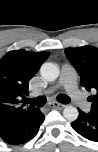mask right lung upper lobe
<instances>
[{"mask_svg":"<svg viewBox=\"0 0 98 152\" xmlns=\"http://www.w3.org/2000/svg\"><path fill=\"white\" fill-rule=\"evenodd\" d=\"M47 52L13 50L0 60V134L17 126L38 108L25 106L28 82L48 58Z\"/></svg>","mask_w":98,"mask_h":152,"instance_id":"1","label":"right lung upper lobe"}]
</instances>
